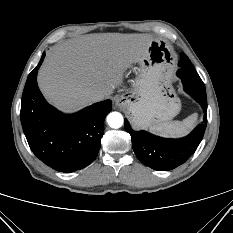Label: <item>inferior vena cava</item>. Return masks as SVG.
Wrapping results in <instances>:
<instances>
[{"label": "inferior vena cava", "mask_w": 233, "mask_h": 233, "mask_svg": "<svg viewBox=\"0 0 233 233\" xmlns=\"http://www.w3.org/2000/svg\"><path fill=\"white\" fill-rule=\"evenodd\" d=\"M105 98H107V94L105 92H102V91H99V92H96L92 95V100L94 102H97V101H102L104 100Z\"/></svg>", "instance_id": "1"}]
</instances>
